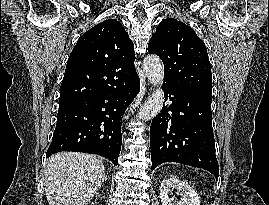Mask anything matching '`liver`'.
Here are the masks:
<instances>
[{
	"mask_svg": "<svg viewBox=\"0 0 269 205\" xmlns=\"http://www.w3.org/2000/svg\"><path fill=\"white\" fill-rule=\"evenodd\" d=\"M104 165L96 156L59 152L51 156L45 171L49 205H86L100 188Z\"/></svg>",
	"mask_w": 269,
	"mask_h": 205,
	"instance_id": "1",
	"label": "liver"
}]
</instances>
